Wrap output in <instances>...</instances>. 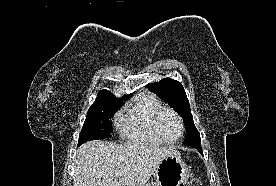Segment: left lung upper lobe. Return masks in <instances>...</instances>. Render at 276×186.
<instances>
[{
	"instance_id": "5c2ea615",
	"label": "left lung upper lobe",
	"mask_w": 276,
	"mask_h": 186,
	"mask_svg": "<svg viewBox=\"0 0 276 186\" xmlns=\"http://www.w3.org/2000/svg\"><path fill=\"white\" fill-rule=\"evenodd\" d=\"M149 88L184 118L187 131L184 140L185 146L201 145L200 134L194 125L190 104L182 84L171 78H165L149 85Z\"/></svg>"
}]
</instances>
